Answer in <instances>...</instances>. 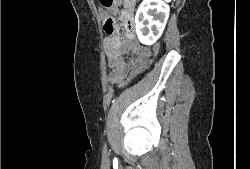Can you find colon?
<instances>
[{
	"label": "colon",
	"instance_id": "1",
	"mask_svg": "<svg viewBox=\"0 0 250 169\" xmlns=\"http://www.w3.org/2000/svg\"><path fill=\"white\" fill-rule=\"evenodd\" d=\"M100 4L107 9L114 8L117 6V2L115 0H100ZM115 22L113 20H108L105 23V30L108 33H112L115 29ZM160 44L159 42H155L151 48V50L147 53L146 59L141 62L138 66L135 67V69H132V72L128 75L127 78H125V81H122V86H132V80H135V77H137L138 74H142L143 72H146L147 69H149V65L155 58L157 54H159L160 51Z\"/></svg>",
	"mask_w": 250,
	"mask_h": 169
}]
</instances>
